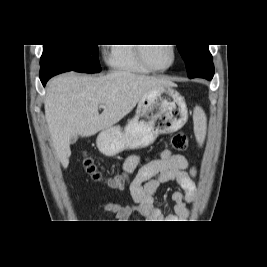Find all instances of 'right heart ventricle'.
<instances>
[{
	"label": "right heart ventricle",
	"instance_id": "right-heart-ventricle-1",
	"mask_svg": "<svg viewBox=\"0 0 267 267\" xmlns=\"http://www.w3.org/2000/svg\"><path fill=\"white\" fill-rule=\"evenodd\" d=\"M135 44H112L107 57V62L113 70L128 71L134 73H151L138 55V47Z\"/></svg>",
	"mask_w": 267,
	"mask_h": 267
}]
</instances>
